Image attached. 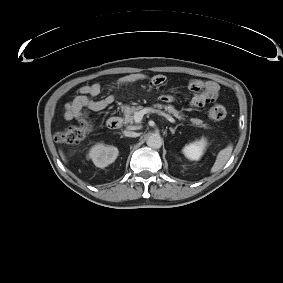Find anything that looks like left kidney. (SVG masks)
Listing matches in <instances>:
<instances>
[{"label":"left kidney","mask_w":283,"mask_h":283,"mask_svg":"<svg viewBox=\"0 0 283 283\" xmlns=\"http://www.w3.org/2000/svg\"><path fill=\"white\" fill-rule=\"evenodd\" d=\"M206 144V140L202 138L199 141L186 145L183 148V153L190 160H199L200 157L203 155Z\"/></svg>","instance_id":"1"}]
</instances>
